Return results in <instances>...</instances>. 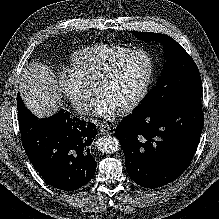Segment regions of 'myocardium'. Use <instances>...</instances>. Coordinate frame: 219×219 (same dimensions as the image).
I'll use <instances>...</instances> for the list:
<instances>
[{"instance_id":"obj_1","label":"myocardium","mask_w":219,"mask_h":219,"mask_svg":"<svg viewBox=\"0 0 219 219\" xmlns=\"http://www.w3.org/2000/svg\"><path fill=\"white\" fill-rule=\"evenodd\" d=\"M134 55H143L147 61H148V70L145 75V78L142 82V85L140 89L138 90L135 97L126 105L119 108L118 111L120 113H128L134 110L145 98L149 87L152 83L154 72H155V62L152 55L144 50V49H133L129 52L121 55L119 58H117L114 62L111 63V65L101 74V76L98 78L96 82V90L106 84L110 78L116 73L118 68L122 65V63L127 60L128 58L134 56Z\"/></svg>"}]
</instances>
